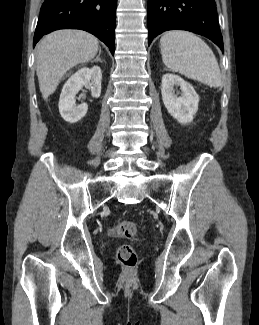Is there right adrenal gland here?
Masks as SVG:
<instances>
[{
	"instance_id": "obj_1",
	"label": "right adrenal gland",
	"mask_w": 259,
	"mask_h": 325,
	"mask_svg": "<svg viewBox=\"0 0 259 325\" xmlns=\"http://www.w3.org/2000/svg\"><path fill=\"white\" fill-rule=\"evenodd\" d=\"M100 54H101V50H99V54H98V56L96 57V59H94V60L91 61V62H97V61L102 62L101 59H100Z\"/></svg>"
}]
</instances>
